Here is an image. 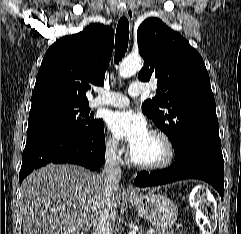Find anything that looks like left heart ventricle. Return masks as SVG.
Segmentation results:
<instances>
[{
	"label": "left heart ventricle",
	"instance_id": "left-heart-ventricle-1",
	"mask_svg": "<svg viewBox=\"0 0 241 234\" xmlns=\"http://www.w3.org/2000/svg\"><path fill=\"white\" fill-rule=\"evenodd\" d=\"M133 157L143 163H156L165 156V147L162 141L149 133L142 144L132 152Z\"/></svg>",
	"mask_w": 241,
	"mask_h": 234
}]
</instances>
